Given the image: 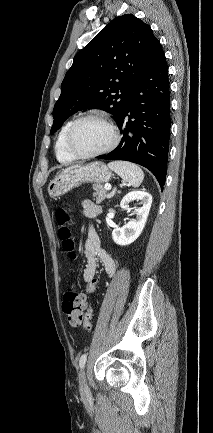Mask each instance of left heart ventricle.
<instances>
[{"label":"left heart ventricle","instance_id":"b2bd125f","mask_svg":"<svg viewBox=\"0 0 213 433\" xmlns=\"http://www.w3.org/2000/svg\"><path fill=\"white\" fill-rule=\"evenodd\" d=\"M112 141L110 129L101 121L89 119L82 122L74 135L77 150L84 154L94 153L106 148Z\"/></svg>","mask_w":213,"mask_h":433}]
</instances>
